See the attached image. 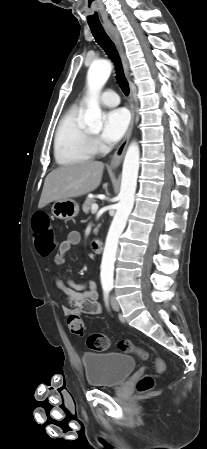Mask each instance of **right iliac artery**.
<instances>
[{"label":"right iliac artery","instance_id":"82829eb1","mask_svg":"<svg viewBox=\"0 0 207 449\" xmlns=\"http://www.w3.org/2000/svg\"><path fill=\"white\" fill-rule=\"evenodd\" d=\"M103 291H104L105 302H106V304H108L110 288L105 287Z\"/></svg>","mask_w":207,"mask_h":449}]
</instances>
